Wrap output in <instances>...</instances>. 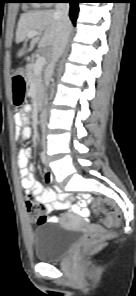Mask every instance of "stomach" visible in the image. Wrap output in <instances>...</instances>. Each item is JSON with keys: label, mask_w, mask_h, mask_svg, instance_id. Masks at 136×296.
Listing matches in <instances>:
<instances>
[{"label": "stomach", "mask_w": 136, "mask_h": 296, "mask_svg": "<svg viewBox=\"0 0 136 296\" xmlns=\"http://www.w3.org/2000/svg\"><path fill=\"white\" fill-rule=\"evenodd\" d=\"M14 84H23V79H14ZM25 90H27V85H12L10 90V98H13V105H24L25 101Z\"/></svg>", "instance_id": "1"}]
</instances>
